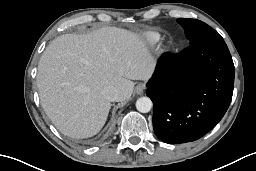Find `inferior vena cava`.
Wrapping results in <instances>:
<instances>
[{
  "instance_id": "obj_1",
  "label": "inferior vena cava",
  "mask_w": 256,
  "mask_h": 171,
  "mask_svg": "<svg viewBox=\"0 0 256 171\" xmlns=\"http://www.w3.org/2000/svg\"><path fill=\"white\" fill-rule=\"evenodd\" d=\"M103 97L109 102H114L118 100L119 92L113 86H107L102 90Z\"/></svg>"
}]
</instances>
